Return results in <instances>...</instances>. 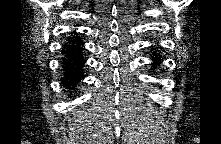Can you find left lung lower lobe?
<instances>
[{
  "mask_svg": "<svg viewBox=\"0 0 221 144\" xmlns=\"http://www.w3.org/2000/svg\"><path fill=\"white\" fill-rule=\"evenodd\" d=\"M154 59H155V64H157L158 63V61H160L161 60V58L160 57H158L157 55H155V57H154Z\"/></svg>",
  "mask_w": 221,
  "mask_h": 144,
  "instance_id": "1",
  "label": "left lung lower lobe"
}]
</instances>
